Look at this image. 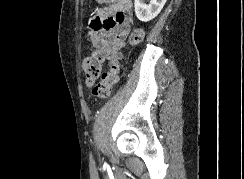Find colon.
<instances>
[{"mask_svg":"<svg viewBox=\"0 0 244 179\" xmlns=\"http://www.w3.org/2000/svg\"><path fill=\"white\" fill-rule=\"evenodd\" d=\"M99 3H109L110 0H98ZM144 36V30L136 27L132 30L129 38L130 45H136L141 42ZM104 61V55L101 50H97L87 57L82 68L85 72L86 84L91 87L92 96L97 99H107L120 79L121 65H113L104 75L100 82L97 83L101 75V68Z\"/></svg>","mask_w":244,"mask_h":179,"instance_id":"obj_1","label":"colon"}]
</instances>
